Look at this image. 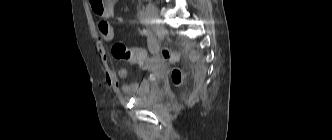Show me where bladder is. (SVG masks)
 Returning a JSON list of instances; mask_svg holds the SVG:
<instances>
[{"label":"bladder","mask_w":332,"mask_h":140,"mask_svg":"<svg viewBox=\"0 0 332 140\" xmlns=\"http://www.w3.org/2000/svg\"><path fill=\"white\" fill-rule=\"evenodd\" d=\"M163 97L162 91L155 87L152 91L147 93L145 96H142L137 99V104L143 105V106H151L155 102L159 101Z\"/></svg>","instance_id":"bladder-1"}]
</instances>
